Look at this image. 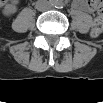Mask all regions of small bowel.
<instances>
[{
  "instance_id": "obj_1",
  "label": "small bowel",
  "mask_w": 103,
  "mask_h": 103,
  "mask_svg": "<svg viewBox=\"0 0 103 103\" xmlns=\"http://www.w3.org/2000/svg\"><path fill=\"white\" fill-rule=\"evenodd\" d=\"M78 7L81 8V9H84L87 12L92 11L91 6H90V2H88V3L80 2V3H78Z\"/></svg>"
}]
</instances>
